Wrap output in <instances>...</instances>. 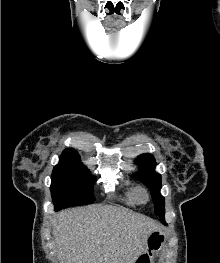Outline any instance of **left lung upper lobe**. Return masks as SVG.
I'll return each mask as SVG.
<instances>
[{
	"instance_id": "obj_1",
	"label": "left lung upper lobe",
	"mask_w": 220,
	"mask_h": 263,
	"mask_svg": "<svg viewBox=\"0 0 220 263\" xmlns=\"http://www.w3.org/2000/svg\"><path fill=\"white\" fill-rule=\"evenodd\" d=\"M136 163L141 170L134 176L151 189L152 199L155 203L154 211L162 219L164 218V197L160 194L161 176L154 171L155 159L150 154H143L137 158Z\"/></svg>"
}]
</instances>
